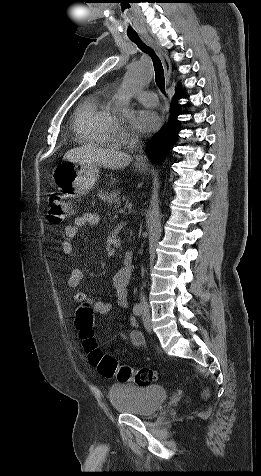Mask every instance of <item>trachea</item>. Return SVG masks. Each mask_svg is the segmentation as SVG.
Listing matches in <instances>:
<instances>
[{
    "mask_svg": "<svg viewBox=\"0 0 261 476\" xmlns=\"http://www.w3.org/2000/svg\"><path fill=\"white\" fill-rule=\"evenodd\" d=\"M130 40L136 43L142 49V51L150 55L153 61L156 84L162 92H165L164 69H163V65L160 58L156 55V53L151 48L143 44L137 35L130 36Z\"/></svg>",
    "mask_w": 261,
    "mask_h": 476,
    "instance_id": "trachea-1",
    "label": "trachea"
}]
</instances>
